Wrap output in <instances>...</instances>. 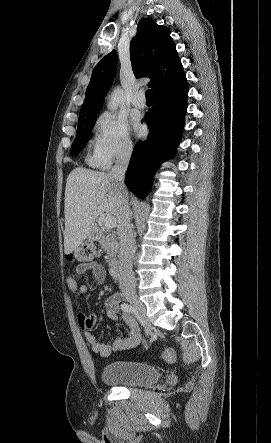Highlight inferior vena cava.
Returning a JSON list of instances; mask_svg holds the SVG:
<instances>
[{
	"instance_id": "602c4592",
	"label": "inferior vena cava",
	"mask_w": 271,
	"mask_h": 443,
	"mask_svg": "<svg viewBox=\"0 0 271 443\" xmlns=\"http://www.w3.org/2000/svg\"><path fill=\"white\" fill-rule=\"evenodd\" d=\"M133 150L132 142H123L116 164L112 168L110 178L117 182V188L121 192V216L117 225L119 235L118 253V277L122 296H135L136 279L132 271V257L134 255V235L131 227V210L129 206V196L124 184L125 172L128 168L129 160Z\"/></svg>"
}]
</instances>
